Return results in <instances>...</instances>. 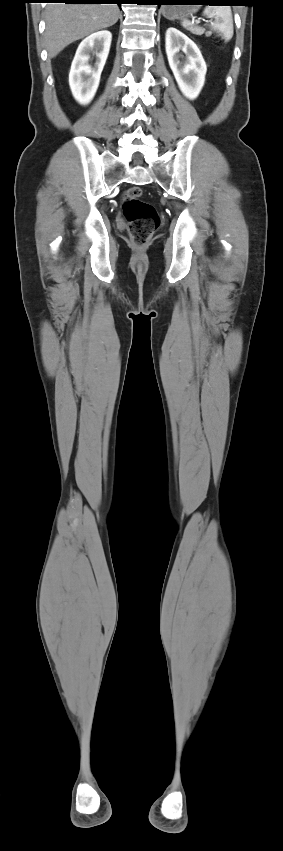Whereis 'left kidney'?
Masks as SVG:
<instances>
[{"instance_id":"5707ae66","label":"left kidney","mask_w":283,"mask_h":851,"mask_svg":"<svg viewBox=\"0 0 283 851\" xmlns=\"http://www.w3.org/2000/svg\"><path fill=\"white\" fill-rule=\"evenodd\" d=\"M165 48L169 66L179 89L185 97L194 100L204 86L207 72L206 63L199 48L185 34L173 27L166 31ZM180 51L185 54V57Z\"/></svg>"}]
</instances>
